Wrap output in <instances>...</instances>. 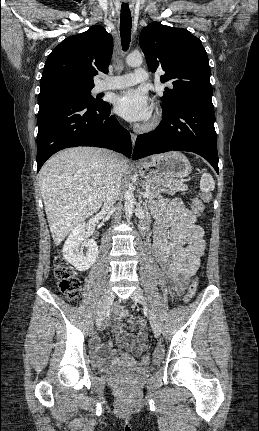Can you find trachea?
Segmentation results:
<instances>
[{
  "mask_svg": "<svg viewBox=\"0 0 259 431\" xmlns=\"http://www.w3.org/2000/svg\"><path fill=\"white\" fill-rule=\"evenodd\" d=\"M132 18L129 5L122 3L120 15V36L123 50L126 51L131 39Z\"/></svg>",
  "mask_w": 259,
  "mask_h": 431,
  "instance_id": "obj_1",
  "label": "trachea"
}]
</instances>
